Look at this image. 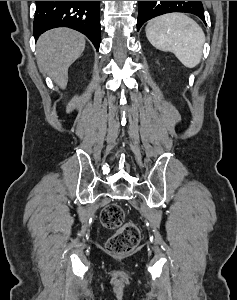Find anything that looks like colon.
Here are the masks:
<instances>
[{"label": "colon", "instance_id": "colon-1", "mask_svg": "<svg viewBox=\"0 0 237 300\" xmlns=\"http://www.w3.org/2000/svg\"><path fill=\"white\" fill-rule=\"evenodd\" d=\"M100 220L104 227L115 231L106 243L110 254L124 256L134 251L140 241V232L134 223L125 222L121 206L116 203L105 206L101 211Z\"/></svg>", "mask_w": 237, "mask_h": 300}]
</instances>
